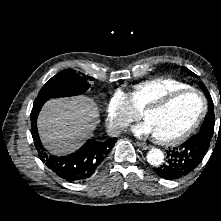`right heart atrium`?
<instances>
[{
	"label": "right heart atrium",
	"mask_w": 221,
	"mask_h": 221,
	"mask_svg": "<svg viewBox=\"0 0 221 221\" xmlns=\"http://www.w3.org/2000/svg\"><path fill=\"white\" fill-rule=\"evenodd\" d=\"M138 117V113L130 106L125 93L116 90L106 105L105 121L108 130L113 134H118Z\"/></svg>",
	"instance_id": "obj_1"
}]
</instances>
